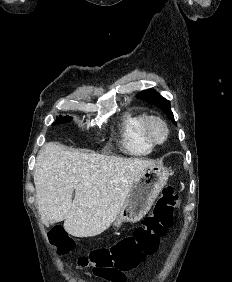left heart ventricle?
<instances>
[{
    "instance_id": "left-heart-ventricle-1",
    "label": "left heart ventricle",
    "mask_w": 232,
    "mask_h": 282,
    "mask_svg": "<svg viewBox=\"0 0 232 282\" xmlns=\"http://www.w3.org/2000/svg\"><path fill=\"white\" fill-rule=\"evenodd\" d=\"M153 134L156 138L161 139L163 137V134H164L162 127L157 125V124L154 125L153 126Z\"/></svg>"
}]
</instances>
